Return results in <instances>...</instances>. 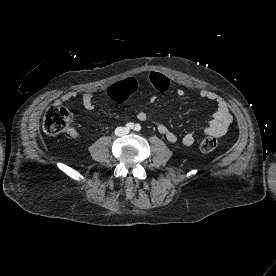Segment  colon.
<instances>
[{
	"label": "colon",
	"mask_w": 276,
	"mask_h": 276,
	"mask_svg": "<svg viewBox=\"0 0 276 276\" xmlns=\"http://www.w3.org/2000/svg\"><path fill=\"white\" fill-rule=\"evenodd\" d=\"M71 125L70 112L60 104L48 107L43 117V131L49 136H55L67 131ZM218 141L207 137L200 143V150L204 153L213 152L218 148Z\"/></svg>",
	"instance_id": "obj_1"
}]
</instances>
